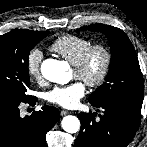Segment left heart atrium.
<instances>
[{"mask_svg":"<svg viewBox=\"0 0 147 147\" xmlns=\"http://www.w3.org/2000/svg\"><path fill=\"white\" fill-rule=\"evenodd\" d=\"M86 93V85L82 81H76L65 86H56L45 93V99L52 104L74 108Z\"/></svg>","mask_w":147,"mask_h":147,"instance_id":"obj_1","label":"left heart atrium"}]
</instances>
